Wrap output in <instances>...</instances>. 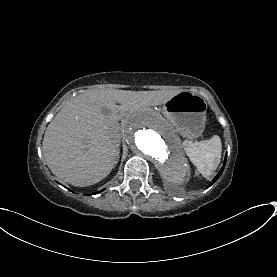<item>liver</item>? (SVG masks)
Instances as JSON below:
<instances>
[{
	"instance_id": "1",
	"label": "liver",
	"mask_w": 277,
	"mask_h": 277,
	"mask_svg": "<svg viewBox=\"0 0 277 277\" xmlns=\"http://www.w3.org/2000/svg\"><path fill=\"white\" fill-rule=\"evenodd\" d=\"M172 96L171 92L113 89L76 96L45 131L43 155L48 167L73 186L102 181L116 166L123 139L119 120L144 107L162 105Z\"/></svg>"
}]
</instances>
